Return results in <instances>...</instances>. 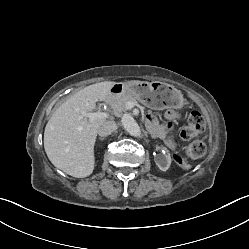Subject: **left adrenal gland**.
I'll return each mask as SVG.
<instances>
[{"instance_id": "a2214340", "label": "left adrenal gland", "mask_w": 249, "mask_h": 249, "mask_svg": "<svg viewBox=\"0 0 249 249\" xmlns=\"http://www.w3.org/2000/svg\"><path fill=\"white\" fill-rule=\"evenodd\" d=\"M151 137L154 138V139L156 138L155 136H151Z\"/></svg>"}]
</instances>
